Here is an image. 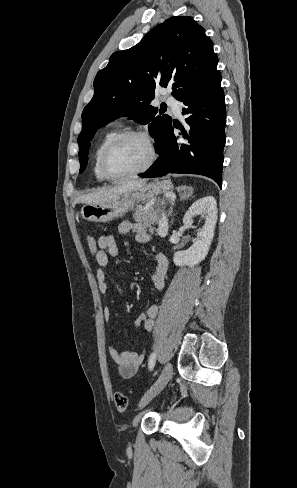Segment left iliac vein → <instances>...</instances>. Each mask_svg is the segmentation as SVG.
Listing matches in <instances>:
<instances>
[{
    "instance_id": "4c4485c4",
    "label": "left iliac vein",
    "mask_w": 297,
    "mask_h": 488,
    "mask_svg": "<svg viewBox=\"0 0 297 488\" xmlns=\"http://www.w3.org/2000/svg\"><path fill=\"white\" fill-rule=\"evenodd\" d=\"M172 365L171 363H167L160 376L156 380V382L151 386V388L144 394L142 397L140 403H139V408H143L146 406L154 397H156L162 390L163 388L167 385L168 381L171 378L172 375Z\"/></svg>"
}]
</instances>
